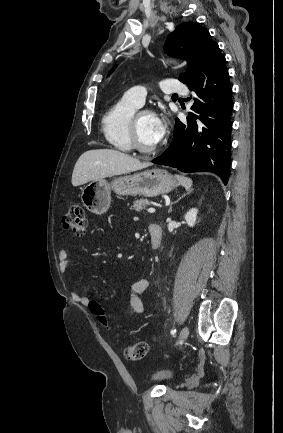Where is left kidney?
<instances>
[{
    "label": "left kidney",
    "mask_w": 283,
    "mask_h": 433,
    "mask_svg": "<svg viewBox=\"0 0 283 433\" xmlns=\"http://www.w3.org/2000/svg\"><path fill=\"white\" fill-rule=\"evenodd\" d=\"M197 214H198V210L196 208L190 209L185 214V217H184L185 221L190 227H193L195 225L196 219H197Z\"/></svg>",
    "instance_id": "left-kidney-1"
}]
</instances>
